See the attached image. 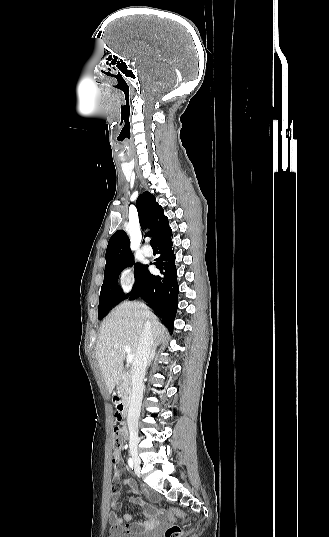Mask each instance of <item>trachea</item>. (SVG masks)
<instances>
[{"mask_svg": "<svg viewBox=\"0 0 329 537\" xmlns=\"http://www.w3.org/2000/svg\"><path fill=\"white\" fill-rule=\"evenodd\" d=\"M150 245L152 247H157V242H156V239L155 238H152L151 241H150Z\"/></svg>", "mask_w": 329, "mask_h": 537, "instance_id": "obj_1", "label": "trachea"}]
</instances>
